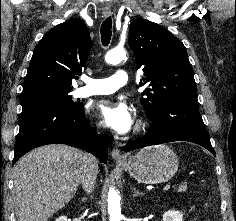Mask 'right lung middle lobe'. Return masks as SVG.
<instances>
[{
  "mask_svg": "<svg viewBox=\"0 0 236 221\" xmlns=\"http://www.w3.org/2000/svg\"><path fill=\"white\" fill-rule=\"evenodd\" d=\"M71 90L61 89H39L21 94L22 108L35 105H59L69 109H78L83 104L74 102L70 96Z\"/></svg>",
  "mask_w": 236,
  "mask_h": 221,
  "instance_id": "1",
  "label": "right lung middle lobe"
}]
</instances>
